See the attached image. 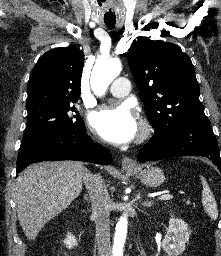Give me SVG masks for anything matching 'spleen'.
I'll use <instances>...</instances> for the list:
<instances>
[{
    "label": "spleen",
    "instance_id": "1",
    "mask_svg": "<svg viewBox=\"0 0 221 256\" xmlns=\"http://www.w3.org/2000/svg\"><path fill=\"white\" fill-rule=\"evenodd\" d=\"M203 191H202V204L205 208V211L208 213L212 220H216L218 217V209L215 198L206 182V180L201 177Z\"/></svg>",
    "mask_w": 221,
    "mask_h": 256
}]
</instances>
